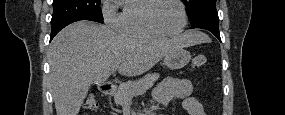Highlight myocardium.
<instances>
[{
	"label": "myocardium",
	"instance_id": "obj_1",
	"mask_svg": "<svg viewBox=\"0 0 285 115\" xmlns=\"http://www.w3.org/2000/svg\"><path fill=\"white\" fill-rule=\"evenodd\" d=\"M162 1H165V0H151L150 1V3L147 5L146 10H145V22H146L147 26L153 32H155L156 34H158L160 36H167V37L177 36V35L181 34L186 29L187 24H188V14H187L185 5L181 0H171V1L175 2L181 9L182 24L178 30H176L174 32H166V31L162 30L159 26H157V24L153 20V11L157 7V5Z\"/></svg>",
	"mask_w": 285,
	"mask_h": 115
}]
</instances>
